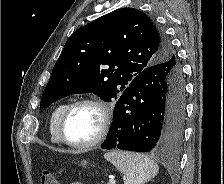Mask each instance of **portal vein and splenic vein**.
Here are the masks:
<instances>
[{"label": "portal vein and splenic vein", "mask_w": 224, "mask_h": 184, "mask_svg": "<svg viewBox=\"0 0 224 184\" xmlns=\"http://www.w3.org/2000/svg\"><path fill=\"white\" fill-rule=\"evenodd\" d=\"M108 184H115V180L114 179H110Z\"/></svg>", "instance_id": "obj_1"}]
</instances>
